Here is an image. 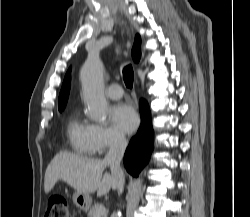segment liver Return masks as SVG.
<instances>
[{
  "label": "liver",
  "instance_id": "6515ba94",
  "mask_svg": "<svg viewBox=\"0 0 250 217\" xmlns=\"http://www.w3.org/2000/svg\"><path fill=\"white\" fill-rule=\"evenodd\" d=\"M107 164L100 159L86 158L68 152L58 153L48 165L44 178V191L48 194L62 180L79 193L108 194L117 188V178L105 172Z\"/></svg>",
  "mask_w": 250,
  "mask_h": 217
}]
</instances>
